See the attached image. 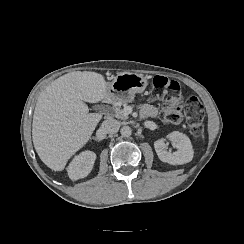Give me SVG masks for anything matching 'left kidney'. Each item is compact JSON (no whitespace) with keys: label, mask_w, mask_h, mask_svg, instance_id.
<instances>
[{"label":"left kidney","mask_w":244,"mask_h":244,"mask_svg":"<svg viewBox=\"0 0 244 244\" xmlns=\"http://www.w3.org/2000/svg\"><path fill=\"white\" fill-rule=\"evenodd\" d=\"M167 138L173 143V147H175L177 151L173 153L167 151L168 145L165 143L164 139L155 141L154 148L162 162L171 165H182L192 161L194 151L188 136L179 131H173L167 135Z\"/></svg>","instance_id":"5707ae66"}]
</instances>
